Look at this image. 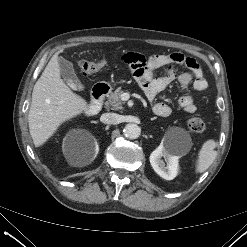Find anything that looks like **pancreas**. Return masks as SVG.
<instances>
[{
	"instance_id": "obj_1",
	"label": "pancreas",
	"mask_w": 247,
	"mask_h": 247,
	"mask_svg": "<svg viewBox=\"0 0 247 247\" xmlns=\"http://www.w3.org/2000/svg\"><path fill=\"white\" fill-rule=\"evenodd\" d=\"M122 94L123 91L121 90V88H117L114 92L110 93V95L108 96V101L106 102L107 108H110L111 110H122Z\"/></svg>"
}]
</instances>
